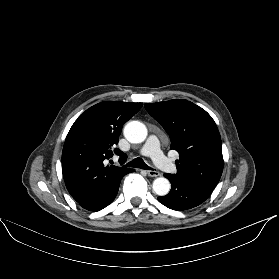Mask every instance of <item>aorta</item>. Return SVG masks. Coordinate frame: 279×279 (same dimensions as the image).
<instances>
[{
	"label": "aorta",
	"instance_id": "1",
	"mask_svg": "<svg viewBox=\"0 0 279 279\" xmlns=\"http://www.w3.org/2000/svg\"><path fill=\"white\" fill-rule=\"evenodd\" d=\"M124 136L131 143H141L147 137V128L139 121H131L124 127ZM152 187L157 195L164 196L169 193L171 185L168 179L159 177L153 181Z\"/></svg>",
	"mask_w": 279,
	"mask_h": 279
}]
</instances>
